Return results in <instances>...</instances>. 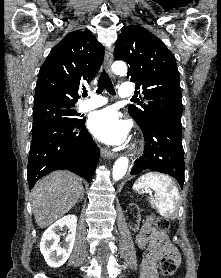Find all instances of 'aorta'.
Masks as SVG:
<instances>
[{"mask_svg": "<svg viewBox=\"0 0 221 278\" xmlns=\"http://www.w3.org/2000/svg\"><path fill=\"white\" fill-rule=\"evenodd\" d=\"M112 71L116 75H125L127 73V66L122 61H116L112 65ZM128 158L127 157H120L113 166L112 177L115 181L120 180L125 173L127 172L128 168Z\"/></svg>", "mask_w": 221, "mask_h": 278, "instance_id": "aorta-1", "label": "aorta"}]
</instances>
